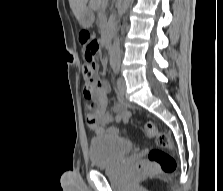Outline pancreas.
Wrapping results in <instances>:
<instances>
[{
    "label": "pancreas",
    "instance_id": "pancreas-1",
    "mask_svg": "<svg viewBox=\"0 0 223 191\" xmlns=\"http://www.w3.org/2000/svg\"><path fill=\"white\" fill-rule=\"evenodd\" d=\"M108 5V0H91L90 7L94 10H103Z\"/></svg>",
    "mask_w": 223,
    "mask_h": 191
}]
</instances>
